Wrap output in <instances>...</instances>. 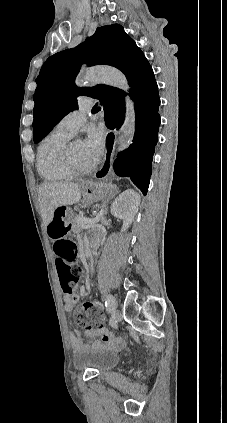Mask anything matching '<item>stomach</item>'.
I'll use <instances>...</instances> for the list:
<instances>
[{"label": "stomach", "mask_w": 227, "mask_h": 423, "mask_svg": "<svg viewBox=\"0 0 227 423\" xmlns=\"http://www.w3.org/2000/svg\"><path fill=\"white\" fill-rule=\"evenodd\" d=\"M114 194H116V186H112V184H95V182L82 184L83 204H93L98 200L112 198Z\"/></svg>", "instance_id": "1"}]
</instances>
